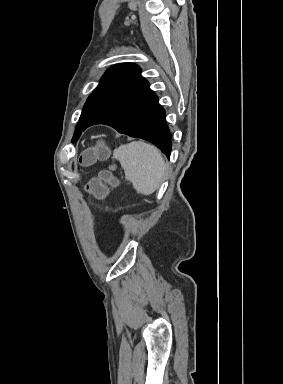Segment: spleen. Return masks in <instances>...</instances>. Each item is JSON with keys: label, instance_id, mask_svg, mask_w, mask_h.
<instances>
[{"label": "spleen", "instance_id": "3e777b00", "mask_svg": "<svg viewBox=\"0 0 283 384\" xmlns=\"http://www.w3.org/2000/svg\"><path fill=\"white\" fill-rule=\"evenodd\" d=\"M114 158L119 160L126 180L132 182L138 194L150 196L160 186L166 172L164 158L151 144L130 142L116 148Z\"/></svg>", "mask_w": 283, "mask_h": 384}]
</instances>
